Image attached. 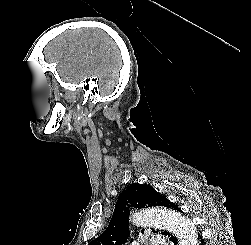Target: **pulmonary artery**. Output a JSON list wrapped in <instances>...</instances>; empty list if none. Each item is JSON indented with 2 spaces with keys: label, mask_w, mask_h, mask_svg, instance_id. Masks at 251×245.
Here are the masks:
<instances>
[{
  "label": "pulmonary artery",
  "mask_w": 251,
  "mask_h": 245,
  "mask_svg": "<svg viewBox=\"0 0 251 245\" xmlns=\"http://www.w3.org/2000/svg\"><path fill=\"white\" fill-rule=\"evenodd\" d=\"M150 244L151 245H168V242L164 237H159V236H153L150 239Z\"/></svg>",
  "instance_id": "1"
}]
</instances>
